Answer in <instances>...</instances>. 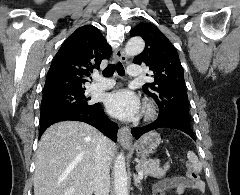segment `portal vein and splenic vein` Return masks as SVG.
Returning <instances> with one entry per match:
<instances>
[{"label":"portal vein and splenic vein","instance_id":"portal-vein-and-splenic-vein-1","mask_svg":"<svg viewBox=\"0 0 240 195\" xmlns=\"http://www.w3.org/2000/svg\"><path fill=\"white\" fill-rule=\"evenodd\" d=\"M138 179H142V177H144V171H138V175H137ZM69 193H74V189H71V191H69Z\"/></svg>","mask_w":240,"mask_h":195}]
</instances>
